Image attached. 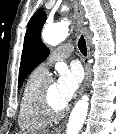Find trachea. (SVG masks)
<instances>
[{"label":"trachea","instance_id":"obj_1","mask_svg":"<svg viewBox=\"0 0 116 134\" xmlns=\"http://www.w3.org/2000/svg\"><path fill=\"white\" fill-rule=\"evenodd\" d=\"M78 48L81 51V53L86 56L87 54V48H86V42L83 36L78 41Z\"/></svg>","mask_w":116,"mask_h":134}]
</instances>
